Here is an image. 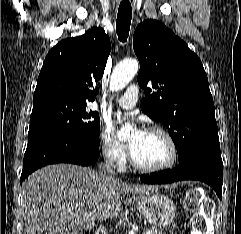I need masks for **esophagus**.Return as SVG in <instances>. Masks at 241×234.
<instances>
[{
    "instance_id": "1",
    "label": "esophagus",
    "mask_w": 241,
    "mask_h": 234,
    "mask_svg": "<svg viewBox=\"0 0 241 234\" xmlns=\"http://www.w3.org/2000/svg\"><path fill=\"white\" fill-rule=\"evenodd\" d=\"M129 2L131 4L132 8L134 9L135 6H136V1L135 0H129Z\"/></svg>"
}]
</instances>
